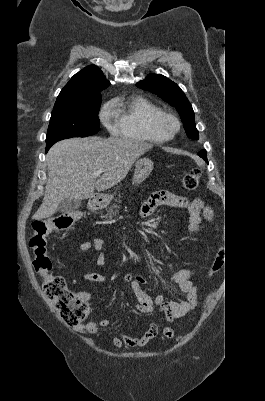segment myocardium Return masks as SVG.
Listing matches in <instances>:
<instances>
[{
    "label": "myocardium",
    "mask_w": 265,
    "mask_h": 401,
    "mask_svg": "<svg viewBox=\"0 0 265 401\" xmlns=\"http://www.w3.org/2000/svg\"><path fill=\"white\" fill-rule=\"evenodd\" d=\"M169 121L173 124V131L167 137H160L157 134V127L160 121ZM149 127L151 132L155 135V140L157 142H166L173 139L181 130V121L175 115L165 112V111H158L155 113L149 120Z\"/></svg>",
    "instance_id": "f54148a6"
}]
</instances>
